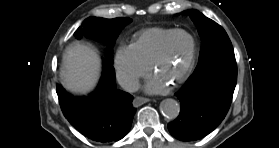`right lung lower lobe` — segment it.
Segmentation results:
<instances>
[{
	"instance_id": "right-lung-lower-lobe-1",
	"label": "right lung lower lobe",
	"mask_w": 279,
	"mask_h": 148,
	"mask_svg": "<svg viewBox=\"0 0 279 148\" xmlns=\"http://www.w3.org/2000/svg\"><path fill=\"white\" fill-rule=\"evenodd\" d=\"M103 76L89 97L76 98L57 85V94L66 119L84 136L96 142H113L128 132L136 109L133 97L115 87L112 63L103 60Z\"/></svg>"
}]
</instances>
